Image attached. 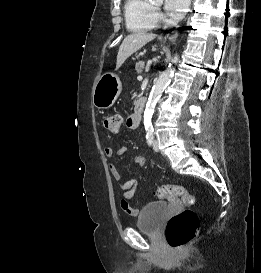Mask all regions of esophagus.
I'll use <instances>...</instances> for the list:
<instances>
[{"label": "esophagus", "mask_w": 261, "mask_h": 273, "mask_svg": "<svg viewBox=\"0 0 261 273\" xmlns=\"http://www.w3.org/2000/svg\"><path fill=\"white\" fill-rule=\"evenodd\" d=\"M177 36H178V33L176 32L170 36H167V38L169 41H174L177 38Z\"/></svg>", "instance_id": "1"}]
</instances>
